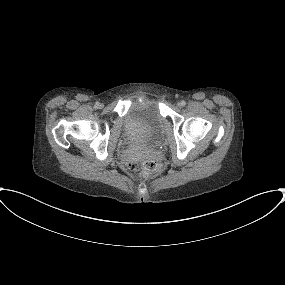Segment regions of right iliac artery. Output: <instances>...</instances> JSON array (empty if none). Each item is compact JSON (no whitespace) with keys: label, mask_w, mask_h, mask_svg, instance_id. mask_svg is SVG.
I'll return each mask as SVG.
<instances>
[{"label":"right iliac artery","mask_w":285,"mask_h":285,"mask_svg":"<svg viewBox=\"0 0 285 285\" xmlns=\"http://www.w3.org/2000/svg\"><path fill=\"white\" fill-rule=\"evenodd\" d=\"M98 104H99V102H96V103H95V107H96V108H97Z\"/></svg>","instance_id":"obj_1"}]
</instances>
